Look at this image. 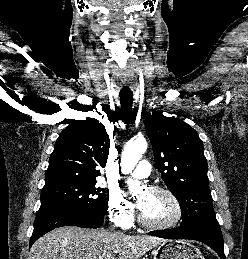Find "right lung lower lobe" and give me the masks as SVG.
<instances>
[{
	"mask_svg": "<svg viewBox=\"0 0 248 259\" xmlns=\"http://www.w3.org/2000/svg\"><path fill=\"white\" fill-rule=\"evenodd\" d=\"M104 222V217H90L73 209L59 207H41L36 215L30 246L47 232L62 226L97 228Z\"/></svg>",
	"mask_w": 248,
	"mask_h": 259,
	"instance_id": "1",
	"label": "right lung lower lobe"
}]
</instances>
